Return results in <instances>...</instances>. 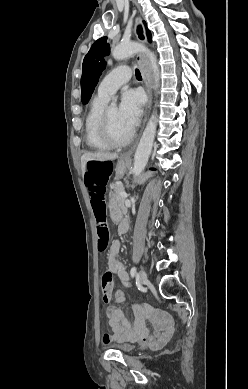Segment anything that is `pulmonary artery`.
<instances>
[{
	"label": "pulmonary artery",
	"instance_id": "1",
	"mask_svg": "<svg viewBox=\"0 0 248 389\" xmlns=\"http://www.w3.org/2000/svg\"><path fill=\"white\" fill-rule=\"evenodd\" d=\"M132 77V71L129 66L121 65L114 68L100 82L98 94L110 97L116 90L126 83Z\"/></svg>",
	"mask_w": 248,
	"mask_h": 389
}]
</instances>
